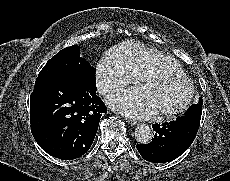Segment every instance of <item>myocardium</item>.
<instances>
[{"instance_id":"f54148a6","label":"myocardium","mask_w":230,"mask_h":181,"mask_svg":"<svg viewBox=\"0 0 230 181\" xmlns=\"http://www.w3.org/2000/svg\"><path fill=\"white\" fill-rule=\"evenodd\" d=\"M173 79V80H181L185 82L188 86V93L184 99V101L176 108L171 109V110H160L157 111V114L163 115L166 117H174L176 115H179L186 111L189 106L191 105L194 96H195V88L192 83V81L185 75V74H178V73H172L169 71H158V72H151L147 75H145L139 84L140 89H144V86L151 80L154 79Z\"/></svg>"}]
</instances>
